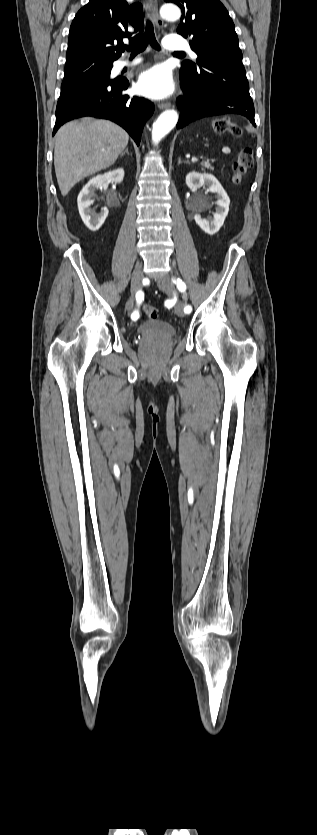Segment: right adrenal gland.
Returning <instances> with one entry per match:
<instances>
[{
	"instance_id": "right-adrenal-gland-1",
	"label": "right adrenal gland",
	"mask_w": 317,
	"mask_h": 835,
	"mask_svg": "<svg viewBox=\"0 0 317 835\" xmlns=\"http://www.w3.org/2000/svg\"><path fill=\"white\" fill-rule=\"evenodd\" d=\"M125 153H126V154H129V152H128V148H126V149H125V150L121 153L120 157L122 158V157L124 156V154H125Z\"/></svg>"
}]
</instances>
